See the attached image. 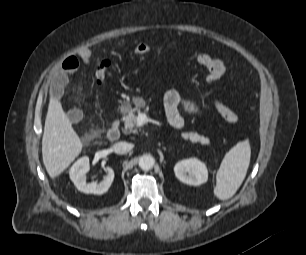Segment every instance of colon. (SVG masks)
Returning <instances> with one entry per match:
<instances>
[{
	"instance_id": "5ec220e1",
	"label": "colon",
	"mask_w": 306,
	"mask_h": 255,
	"mask_svg": "<svg viewBox=\"0 0 306 255\" xmlns=\"http://www.w3.org/2000/svg\"><path fill=\"white\" fill-rule=\"evenodd\" d=\"M134 52L138 56H145L149 52V46L146 43H137L134 47ZM194 58L196 61L204 66L208 71L207 80L214 82L220 79L226 72L225 63L208 53H195ZM112 66V62L109 59H103L97 67L96 78L99 83L105 81L107 74ZM213 105L219 115L230 124H237L239 122V116L222 101L218 99L213 100Z\"/></svg>"
}]
</instances>
